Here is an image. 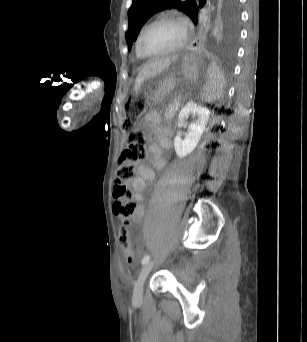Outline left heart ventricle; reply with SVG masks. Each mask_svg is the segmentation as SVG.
Returning a JSON list of instances; mask_svg holds the SVG:
<instances>
[{"instance_id": "obj_1", "label": "left heart ventricle", "mask_w": 307, "mask_h": 342, "mask_svg": "<svg viewBox=\"0 0 307 342\" xmlns=\"http://www.w3.org/2000/svg\"><path fill=\"white\" fill-rule=\"evenodd\" d=\"M181 38L179 28L167 21L155 24L146 33L142 49L147 55H157L174 47Z\"/></svg>"}]
</instances>
